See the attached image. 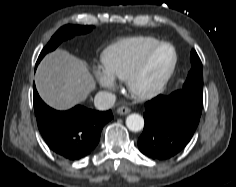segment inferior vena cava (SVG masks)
Wrapping results in <instances>:
<instances>
[{
	"instance_id": "602c4592",
	"label": "inferior vena cava",
	"mask_w": 236,
	"mask_h": 187,
	"mask_svg": "<svg viewBox=\"0 0 236 187\" xmlns=\"http://www.w3.org/2000/svg\"><path fill=\"white\" fill-rule=\"evenodd\" d=\"M116 101V96L112 93L100 91L94 98V105L98 110L110 109Z\"/></svg>"
}]
</instances>
